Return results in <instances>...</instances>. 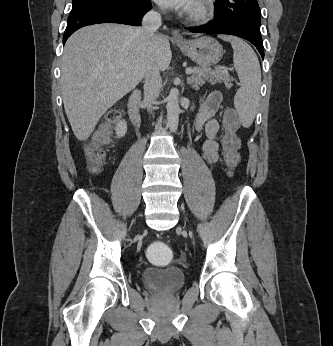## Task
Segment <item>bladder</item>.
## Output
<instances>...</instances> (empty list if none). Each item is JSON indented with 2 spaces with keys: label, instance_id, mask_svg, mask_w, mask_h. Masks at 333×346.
Masks as SVG:
<instances>
[{
  "label": "bladder",
  "instance_id": "obj_1",
  "mask_svg": "<svg viewBox=\"0 0 333 346\" xmlns=\"http://www.w3.org/2000/svg\"><path fill=\"white\" fill-rule=\"evenodd\" d=\"M142 285L153 292L173 294L185 284L184 274L175 268L148 267L141 273Z\"/></svg>",
  "mask_w": 333,
  "mask_h": 346
}]
</instances>
